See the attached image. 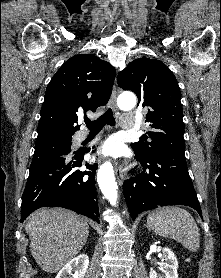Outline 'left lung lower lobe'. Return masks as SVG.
Listing matches in <instances>:
<instances>
[{
    "mask_svg": "<svg viewBox=\"0 0 221 278\" xmlns=\"http://www.w3.org/2000/svg\"><path fill=\"white\" fill-rule=\"evenodd\" d=\"M143 171L126 180L123 193L131 218L166 205H186L201 216V208L188 173L184 151L164 150L151 158L136 154Z\"/></svg>",
    "mask_w": 221,
    "mask_h": 278,
    "instance_id": "0a47b994",
    "label": "left lung lower lobe"
}]
</instances>
